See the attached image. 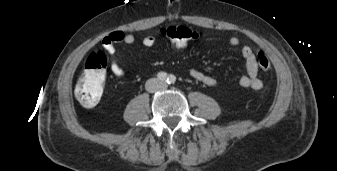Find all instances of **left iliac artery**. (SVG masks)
Listing matches in <instances>:
<instances>
[{"mask_svg":"<svg viewBox=\"0 0 337 171\" xmlns=\"http://www.w3.org/2000/svg\"><path fill=\"white\" fill-rule=\"evenodd\" d=\"M176 81V77L174 75H170L167 79L168 84H174Z\"/></svg>","mask_w":337,"mask_h":171,"instance_id":"obj_1","label":"left iliac artery"}]
</instances>
